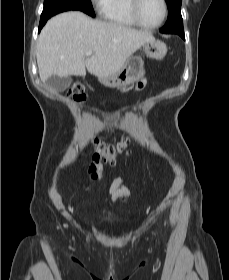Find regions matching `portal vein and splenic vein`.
I'll return each mask as SVG.
<instances>
[{"label":"portal vein and splenic vein","instance_id":"obj_1","mask_svg":"<svg viewBox=\"0 0 229 280\" xmlns=\"http://www.w3.org/2000/svg\"><path fill=\"white\" fill-rule=\"evenodd\" d=\"M90 55H92V51H88V52L85 53V56H87V57L90 56Z\"/></svg>","mask_w":229,"mask_h":280}]
</instances>
